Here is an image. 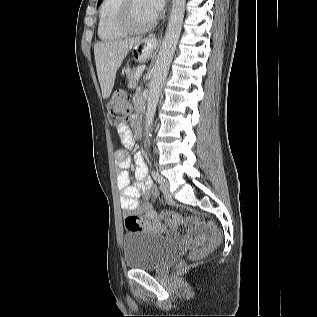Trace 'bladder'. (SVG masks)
I'll use <instances>...</instances> for the list:
<instances>
[{
	"label": "bladder",
	"mask_w": 317,
	"mask_h": 317,
	"mask_svg": "<svg viewBox=\"0 0 317 317\" xmlns=\"http://www.w3.org/2000/svg\"><path fill=\"white\" fill-rule=\"evenodd\" d=\"M176 249L168 238L149 231H130L123 239V256L128 268L154 270L166 265Z\"/></svg>",
	"instance_id": "1"
}]
</instances>
